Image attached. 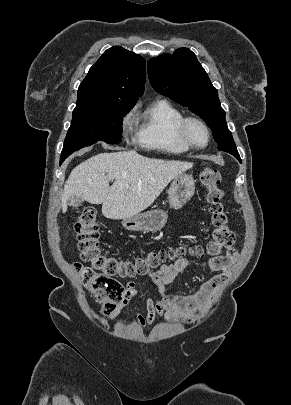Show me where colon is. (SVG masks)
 <instances>
[{
	"label": "colon",
	"instance_id": "colon-1",
	"mask_svg": "<svg viewBox=\"0 0 291 405\" xmlns=\"http://www.w3.org/2000/svg\"><path fill=\"white\" fill-rule=\"evenodd\" d=\"M201 185L207 190L206 199L210 205L213 231L205 247L208 255L218 257L235 242V235L228 227L225 212L224 192L219 187V171L204 166L199 174ZM77 246L81 259L88 265L75 263L85 288L98 298L105 314H113L124 297L125 289L118 278L144 275L161 263L181 258L186 251L183 248L149 250L143 255L121 258L105 254L99 242V223L94 208H86L74 224ZM196 252H203L197 249Z\"/></svg>",
	"mask_w": 291,
	"mask_h": 405
}]
</instances>
